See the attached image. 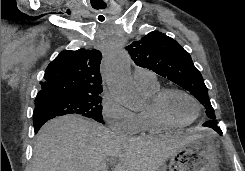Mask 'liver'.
I'll list each match as a JSON object with an SVG mask.
<instances>
[{"label": "liver", "mask_w": 245, "mask_h": 171, "mask_svg": "<svg viewBox=\"0 0 245 171\" xmlns=\"http://www.w3.org/2000/svg\"><path fill=\"white\" fill-rule=\"evenodd\" d=\"M195 135H158L126 138L77 115L47 122L39 131L32 171H108L107 161L118 160L113 171H158L170 156Z\"/></svg>", "instance_id": "1"}]
</instances>
